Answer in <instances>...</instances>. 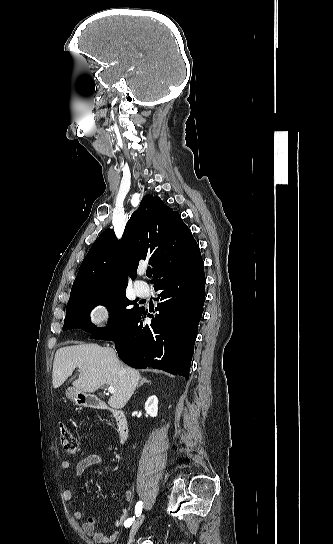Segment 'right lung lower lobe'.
Returning <instances> with one entry per match:
<instances>
[{"mask_svg": "<svg viewBox=\"0 0 333 544\" xmlns=\"http://www.w3.org/2000/svg\"><path fill=\"white\" fill-rule=\"evenodd\" d=\"M154 289L161 293L151 324L144 322L147 312L142 308L119 327L91 338L114 340L119 358L131 367H152L188 379L205 301L204 264L163 278Z\"/></svg>", "mask_w": 333, "mask_h": 544, "instance_id": "1", "label": "right lung lower lobe"}]
</instances>
